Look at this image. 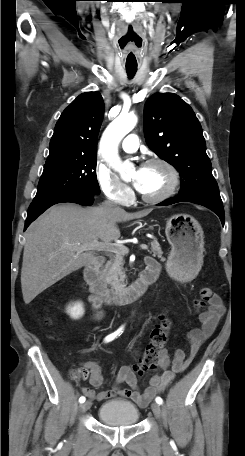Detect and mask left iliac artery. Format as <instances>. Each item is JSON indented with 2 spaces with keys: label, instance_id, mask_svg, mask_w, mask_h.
I'll use <instances>...</instances> for the list:
<instances>
[{
  "label": "left iliac artery",
  "instance_id": "1",
  "mask_svg": "<svg viewBox=\"0 0 245 456\" xmlns=\"http://www.w3.org/2000/svg\"><path fill=\"white\" fill-rule=\"evenodd\" d=\"M156 403H158L159 405H161L163 403V400L161 397H156L155 399Z\"/></svg>",
  "mask_w": 245,
  "mask_h": 456
}]
</instances>
